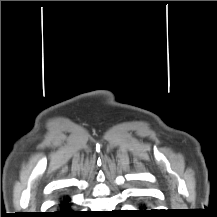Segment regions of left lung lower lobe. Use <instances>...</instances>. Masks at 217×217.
<instances>
[{
	"label": "left lung lower lobe",
	"instance_id": "left-lung-lower-lobe-1",
	"mask_svg": "<svg viewBox=\"0 0 217 217\" xmlns=\"http://www.w3.org/2000/svg\"><path fill=\"white\" fill-rule=\"evenodd\" d=\"M143 214H149L148 212H142Z\"/></svg>",
	"mask_w": 217,
	"mask_h": 217
}]
</instances>
